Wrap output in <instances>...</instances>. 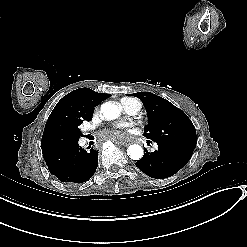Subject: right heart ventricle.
Returning <instances> with one entry per match:
<instances>
[{
	"label": "right heart ventricle",
	"instance_id": "right-heart-ventricle-1",
	"mask_svg": "<svg viewBox=\"0 0 247 247\" xmlns=\"http://www.w3.org/2000/svg\"><path fill=\"white\" fill-rule=\"evenodd\" d=\"M119 105L126 112H135L141 107V103L138 100L132 98L123 97L119 101Z\"/></svg>",
	"mask_w": 247,
	"mask_h": 247
}]
</instances>
